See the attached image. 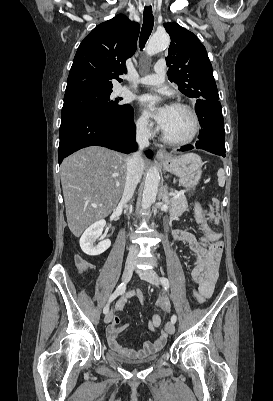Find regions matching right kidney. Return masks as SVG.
Listing matches in <instances>:
<instances>
[{
  "label": "right kidney",
  "instance_id": "right-kidney-1",
  "mask_svg": "<svg viewBox=\"0 0 273 401\" xmlns=\"http://www.w3.org/2000/svg\"><path fill=\"white\" fill-rule=\"evenodd\" d=\"M105 225L106 221L101 219V221H96V223H93L91 227L86 229L79 241L83 253H86V255H91V257H95V255H101V253H104V251L109 249L111 245V241H109V239H105V241H100L98 245H94L96 239L101 237Z\"/></svg>",
  "mask_w": 273,
  "mask_h": 401
}]
</instances>
